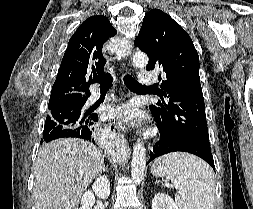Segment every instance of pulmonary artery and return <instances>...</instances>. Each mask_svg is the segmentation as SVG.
I'll use <instances>...</instances> for the list:
<instances>
[{"label": "pulmonary artery", "instance_id": "pulmonary-artery-1", "mask_svg": "<svg viewBox=\"0 0 253 209\" xmlns=\"http://www.w3.org/2000/svg\"><path fill=\"white\" fill-rule=\"evenodd\" d=\"M139 81L142 84H152L154 82V78L152 76V74L149 71H142L139 74ZM100 95L98 93L92 94L89 99L88 102L90 104L96 102L99 99Z\"/></svg>", "mask_w": 253, "mask_h": 209}]
</instances>
